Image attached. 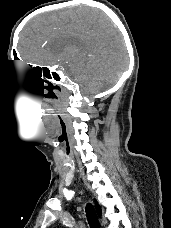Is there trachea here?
<instances>
[{"label":"trachea","instance_id":"obj_1","mask_svg":"<svg viewBox=\"0 0 171 228\" xmlns=\"http://www.w3.org/2000/svg\"><path fill=\"white\" fill-rule=\"evenodd\" d=\"M85 211H86V217H87L88 223L90 225V228H100V224H99V221H98V218L95 213L93 205L90 203L87 204Z\"/></svg>","mask_w":171,"mask_h":228}]
</instances>
